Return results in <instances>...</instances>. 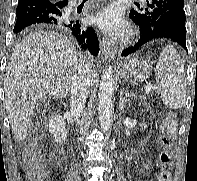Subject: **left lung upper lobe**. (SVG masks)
<instances>
[{"label":"left lung upper lobe","mask_w":197,"mask_h":181,"mask_svg":"<svg viewBox=\"0 0 197 181\" xmlns=\"http://www.w3.org/2000/svg\"><path fill=\"white\" fill-rule=\"evenodd\" d=\"M135 5L130 11V18L143 30H150L162 14L175 9H184L183 0H147L145 5L139 3Z\"/></svg>","instance_id":"5c2ea615"}]
</instances>
